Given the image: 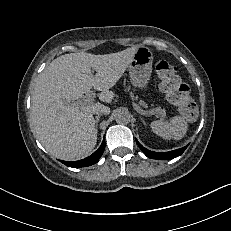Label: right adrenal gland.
<instances>
[{
	"label": "right adrenal gland",
	"instance_id": "obj_1",
	"mask_svg": "<svg viewBox=\"0 0 231 231\" xmlns=\"http://www.w3.org/2000/svg\"><path fill=\"white\" fill-rule=\"evenodd\" d=\"M101 117V114L97 115L95 117V127H96V132L98 131V123H99V118Z\"/></svg>",
	"mask_w": 231,
	"mask_h": 231
}]
</instances>
